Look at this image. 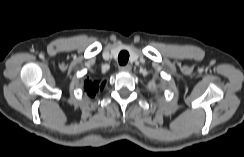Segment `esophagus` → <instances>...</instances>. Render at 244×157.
<instances>
[{"mask_svg":"<svg viewBox=\"0 0 244 157\" xmlns=\"http://www.w3.org/2000/svg\"><path fill=\"white\" fill-rule=\"evenodd\" d=\"M131 69H132V67H131V65H125V66H120L119 67V70L120 71H131Z\"/></svg>","mask_w":244,"mask_h":157,"instance_id":"1","label":"esophagus"}]
</instances>
